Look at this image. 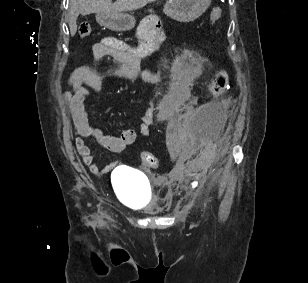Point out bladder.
Instances as JSON below:
<instances>
[{
	"mask_svg": "<svg viewBox=\"0 0 308 283\" xmlns=\"http://www.w3.org/2000/svg\"><path fill=\"white\" fill-rule=\"evenodd\" d=\"M112 184L119 199L136 209H146L152 203V190L145 175L127 167H117Z\"/></svg>",
	"mask_w": 308,
	"mask_h": 283,
	"instance_id": "1",
	"label": "bladder"
}]
</instances>
